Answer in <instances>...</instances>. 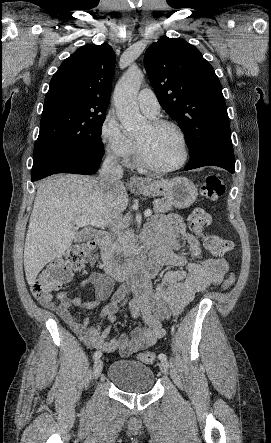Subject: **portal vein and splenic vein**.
Listing matches in <instances>:
<instances>
[{
  "label": "portal vein and splenic vein",
  "mask_w": 271,
  "mask_h": 443,
  "mask_svg": "<svg viewBox=\"0 0 271 443\" xmlns=\"http://www.w3.org/2000/svg\"><path fill=\"white\" fill-rule=\"evenodd\" d=\"M144 216H152L151 210H146ZM75 222L81 223V225H97V227H104L106 225L103 220H86V218H78Z\"/></svg>",
  "instance_id": "obj_1"
}]
</instances>
